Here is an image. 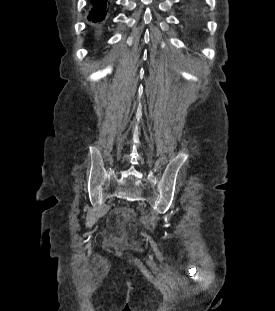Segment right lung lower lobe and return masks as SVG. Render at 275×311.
<instances>
[{
  "label": "right lung lower lobe",
  "instance_id": "obj_1",
  "mask_svg": "<svg viewBox=\"0 0 275 311\" xmlns=\"http://www.w3.org/2000/svg\"><path fill=\"white\" fill-rule=\"evenodd\" d=\"M92 8L88 20L92 23H100L107 12L108 0H91Z\"/></svg>",
  "mask_w": 275,
  "mask_h": 311
}]
</instances>
